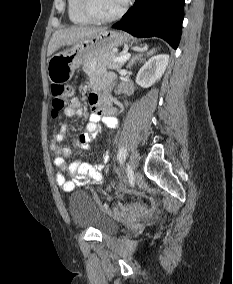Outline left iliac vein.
Here are the masks:
<instances>
[{
  "mask_svg": "<svg viewBox=\"0 0 233 284\" xmlns=\"http://www.w3.org/2000/svg\"><path fill=\"white\" fill-rule=\"evenodd\" d=\"M139 165V154L137 152H132L129 160V167L131 170H136Z\"/></svg>",
  "mask_w": 233,
  "mask_h": 284,
  "instance_id": "obj_1",
  "label": "left iliac vein"
}]
</instances>
